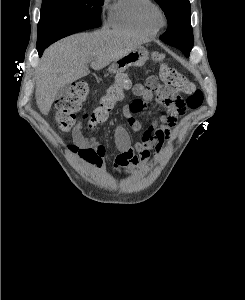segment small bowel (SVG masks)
Segmentation results:
<instances>
[{
    "mask_svg": "<svg viewBox=\"0 0 245 300\" xmlns=\"http://www.w3.org/2000/svg\"><path fill=\"white\" fill-rule=\"evenodd\" d=\"M155 82L156 79L150 78L147 86L136 84L132 88L133 94L144 103V107L153 98L150 85ZM156 96L157 101L166 108V112L144 131H142V123L134 115L142 111L144 107L136 111L131 107V102L123 107L122 113L129 129L141 134L136 141H133L125 127L119 125L115 128L114 140L119 152L114 163L116 170L139 166L157 156L164 143L170 138L171 130L177 124L178 118L185 113L186 105L179 97L162 89L156 91ZM72 134L79 148L92 151V162L100 164L105 155L104 146L93 138H85L81 132V124L75 126Z\"/></svg>",
    "mask_w": 245,
    "mask_h": 300,
    "instance_id": "1",
    "label": "small bowel"
}]
</instances>
